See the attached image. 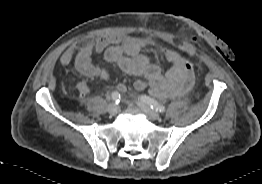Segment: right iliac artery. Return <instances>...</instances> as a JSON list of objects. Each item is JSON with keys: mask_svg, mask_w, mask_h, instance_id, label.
<instances>
[{"mask_svg": "<svg viewBox=\"0 0 262 184\" xmlns=\"http://www.w3.org/2000/svg\"><path fill=\"white\" fill-rule=\"evenodd\" d=\"M121 96L120 93L117 91H114L112 93V100L115 102V104H118L120 102Z\"/></svg>", "mask_w": 262, "mask_h": 184, "instance_id": "1", "label": "right iliac artery"}]
</instances>
